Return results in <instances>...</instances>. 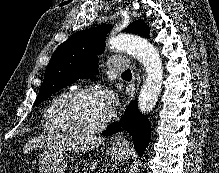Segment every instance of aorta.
<instances>
[{
  "mask_svg": "<svg viewBox=\"0 0 219 173\" xmlns=\"http://www.w3.org/2000/svg\"><path fill=\"white\" fill-rule=\"evenodd\" d=\"M110 49L125 51L143 64L147 76L138 97L141 113L150 112L156 105L163 81L162 61L154 46L132 34H119L108 40Z\"/></svg>",
  "mask_w": 219,
  "mask_h": 173,
  "instance_id": "762f6f07",
  "label": "aorta"
}]
</instances>
